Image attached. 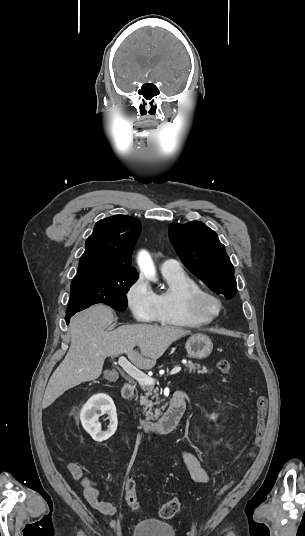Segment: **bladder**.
I'll use <instances>...</instances> for the list:
<instances>
[{
  "label": "bladder",
  "mask_w": 305,
  "mask_h": 536,
  "mask_svg": "<svg viewBox=\"0 0 305 536\" xmlns=\"http://www.w3.org/2000/svg\"><path fill=\"white\" fill-rule=\"evenodd\" d=\"M131 536H152L166 535L175 536V529L172 522L156 517L141 519L132 527Z\"/></svg>",
  "instance_id": "obj_1"
}]
</instances>
